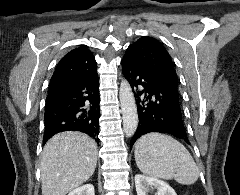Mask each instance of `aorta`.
I'll return each mask as SVG.
<instances>
[{
	"instance_id": "1",
	"label": "aorta",
	"mask_w": 240,
	"mask_h": 195,
	"mask_svg": "<svg viewBox=\"0 0 240 195\" xmlns=\"http://www.w3.org/2000/svg\"><path fill=\"white\" fill-rule=\"evenodd\" d=\"M120 105L123 115V129L125 135H133L138 125V113L133 92L129 82L123 80L119 88Z\"/></svg>"
}]
</instances>
